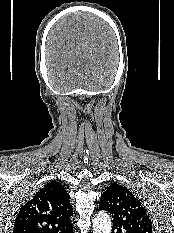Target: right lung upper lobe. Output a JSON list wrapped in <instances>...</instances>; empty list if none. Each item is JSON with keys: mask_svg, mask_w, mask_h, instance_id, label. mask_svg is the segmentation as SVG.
Wrapping results in <instances>:
<instances>
[{"mask_svg": "<svg viewBox=\"0 0 174 233\" xmlns=\"http://www.w3.org/2000/svg\"><path fill=\"white\" fill-rule=\"evenodd\" d=\"M72 215L69 194L63 185L54 181L21 207L13 233H68L73 227Z\"/></svg>", "mask_w": 174, "mask_h": 233, "instance_id": "right-lung-upper-lobe-1", "label": "right lung upper lobe"}]
</instances>
